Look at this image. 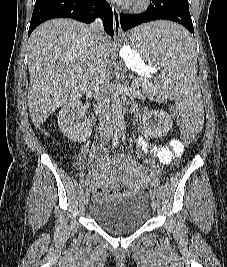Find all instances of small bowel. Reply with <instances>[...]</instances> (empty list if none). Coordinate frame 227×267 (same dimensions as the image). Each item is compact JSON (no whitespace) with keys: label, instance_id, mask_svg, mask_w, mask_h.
<instances>
[{"label":"small bowel","instance_id":"1","mask_svg":"<svg viewBox=\"0 0 227 267\" xmlns=\"http://www.w3.org/2000/svg\"><path fill=\"white\" fill-rule=\"evenodd\" d=\"M138 143L146 154L158 160L161 164L170 165L182 155L184 147L175 138L169 139L161 146L152 145L146 139L140 138ZM100 173H95L91 188L96 196L110 197L119 193V188L114 185H107L99 180Z\"/></svg>","mask_w":227,"mask_h":267}]
</instances>
